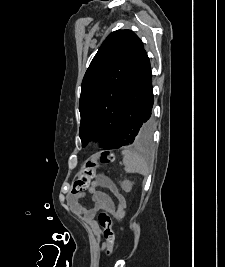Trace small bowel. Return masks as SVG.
<instances>
[{"mask_svg":"<svg viewBox=\"0 0 225 267\" xmlns=\"http://www.w3.org/2000/svg\"><path fill=\"white\" fill-rule=\"evenodd\" d=\"M108 190L113 196L117 199L118 206L115 207V204L111 197L106 195L101 191ZM90 195L93 201V207L87 208L82 204V200ZM120 201H125L123 195L119 192L116 184L105 175H98L93 183L87 189L85 193H75L69 196L68 203L70 206L82 214L90 225H92L95 230L100 232V240L103 244H106V239L104 237V232L100 231L97 223L95 221V215L99 210L106 209L108 210L115 218L121 219L124 216V210L119 207Z\"/></svg>","mask_w":225,"mask_h":267,"instance_id":"1","label":"small bowel"}]
</instances>
